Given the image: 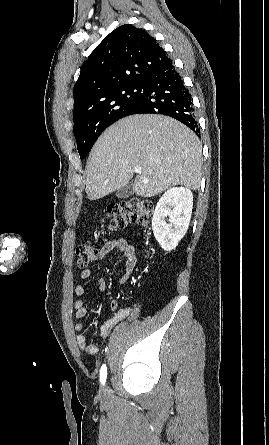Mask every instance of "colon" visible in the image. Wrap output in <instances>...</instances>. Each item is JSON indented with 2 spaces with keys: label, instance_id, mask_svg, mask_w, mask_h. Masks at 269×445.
<instances>
[{
  "label": "colon",
  "instance_id": "colon-1",
  "mask_svg": "<svg viewBox=\"0 0 269 445\" xmlns=\"http://www.w3.org/2000/svg\"><path fill=\"white\" fill-rule=\"evenodd\" d=\"M152 209L150 201L132 198L109 205L105 211V217L108 220L109 229L115 231L130 223L147 225ZM99 252V249L90 243L78 245L76 248L77 267L81 270L86 269L98 258Z\"/></svg>",
  "mask_w": 269,
  "mask_h": 445
}]
</instances>
